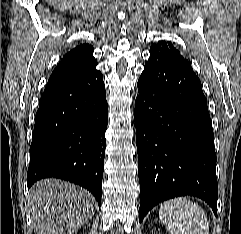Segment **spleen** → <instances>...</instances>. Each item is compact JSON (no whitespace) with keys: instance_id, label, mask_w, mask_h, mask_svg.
Here are the masks:
<instances>
[{"instance_id":"1","label":"spleen","mask_w":241,"mask_h":234,"mask_svg":"<svg viewBox=\"0 0 241 234\" xmlns=\"http://www.w3.org/2000/svg\"><path fill=\"white\" fill-rule=\"evenodd\" d=\"M159 217L171 234H209L204 210L187 197H178L161 204Z\"/></svg>"}]
</instances>
